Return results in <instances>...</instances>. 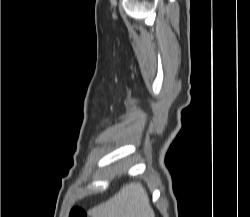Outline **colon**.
Here are the masks:
<instances>
[{"label": "colon", "mask_w": 250, "mask_h": 217, "mask_svg": "<svg viewBox=\"0 0 250 217\" xmlns=\"http://www.w3.org/2000/svg\"><path fill=\"white\" fill-rule=\"evenodd\" d=\"M69 217H88L84 209L80 207H74L69 213Z\"/></svg>", "instance_id": "colon-1"}]
</instances>
